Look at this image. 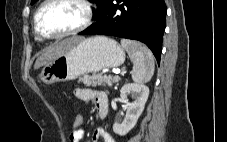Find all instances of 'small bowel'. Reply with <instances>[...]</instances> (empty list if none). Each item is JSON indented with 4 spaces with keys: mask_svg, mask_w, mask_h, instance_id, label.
I'll return each mask as SVG.
<instances>
[{
    "mask_svg": "<svg viewBox=\"0 0 227 142\" xmlns=\"http://www.w3.org/2000/svg\"><path fill=\"white\" fill-rule=\"evenodd\" d=\"M75 96L84 102H93L97 110L103 104L107 103V95L105 92L90 88H78L74 91ZM84 135V128L78 132H71L69 142H81ZM115 142L112 136L103 128H97L92 135V142Z\"/></svg>",
    "mask_w": 227,
    "mask_h": 142,
    "instance_id": "small-bowel-1",
    "label": "small bowel"
}]
</instances>
